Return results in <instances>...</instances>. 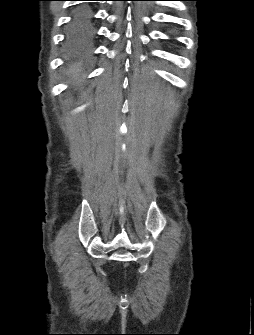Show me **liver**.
Segmentation results:
<instances>
[{
	"label": "liver",
	"instance_id": "6515ba94",
	"mask_svg": "<svg viewBox=\"0 0 254 335\" xmlns=\"http://www.w3.org/2000/svg\"><path fill=\"white\" fill-rule=\"evenodd\" d=\"M69 73L73 76V82H78L81 78L80 65H73L69 68Z\"/></svg>",
	"mask_w": 254,
	"mask_h": 335
}]
</instances>
